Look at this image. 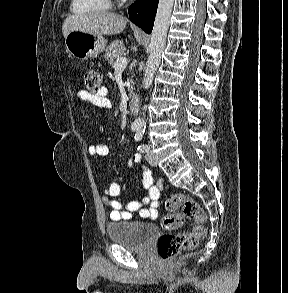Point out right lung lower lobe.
<instances>
[{"instance_id":"right-lung-lower-lobe-1","label":"right lung lower lobe","mask_w":288,"mask_h":293,"mask_svg":"<svg viewBox=\"0 0 288 293\" xmlns=\"http://www.w3.org/2000/svg\"><path fill=\"white\" fill-rule=\"evenodd\" d=\"M159 0H136L128 10L129 18L146 33H151Z\"/></svg>"}]
</instances>
